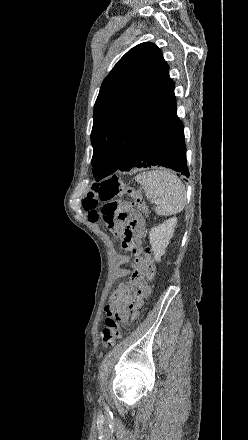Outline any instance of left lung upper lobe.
<instances>
[{
  "mask_svg": "<svg viewBox=\"0 0 248 440\" xmlns=\"http://www.w3.org/2000/svg\"><path fill=\"white\" fill-rule=\"evenodd\" d=\"M175 109L174 82L161 50L150 42L130 49L104 79L95 102V179L115 172L130 148Z\"/></svg>",
  "mask_w": 248,
  "mask_h": 440,
  "instance_id": "1",
  "label": "left lung upper lobe"
}]
</instances>
